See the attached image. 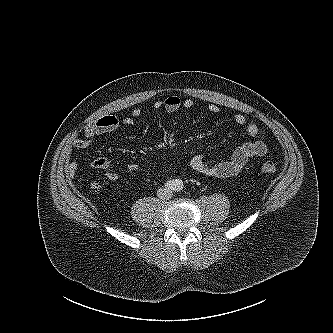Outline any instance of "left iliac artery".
<instances>
[{
    "label": "left iliac artery",
    "mask_w": 333,
    "mask_h": 333,
    "mask_svg": "<svg viewBox=\"0 0 333 333\" xmlns=\"http://www.w3.org/2000/svg\"><path fill=\"white\" fill-rule=\"evenodd\" d=\"M182 188H183V182L181 181V180H176V184H175V190L176 191H180V190H182Z\"/></svg>",
    "instance_id": "obj_1"
}]
</instances>
